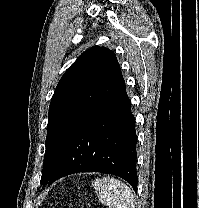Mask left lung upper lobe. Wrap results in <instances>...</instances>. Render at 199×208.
<instances>
[{
    "instance_id": "5c2ea615",
    "label": "left lung upper lobe",
    "mask_w": 199,
    "mask_h": 208,
    "mask_svg": "<svg viewBox=\"0 0 199 208\" xmlns=\"http://www.w3.org/2000/svg\"><path fill=\"white\" fill-rule=\"evenodd\" d=\"M123 81L115 54L98 46L82 53L64 73L49 107L41 184L50 179L74 132Z\"/></svg>"
}]
</instances>
